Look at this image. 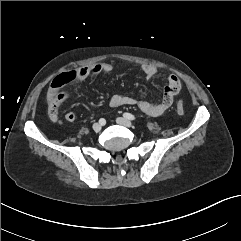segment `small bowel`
I'll return each instance as SVG.
<instances>
[{"label": "small bowel", "instance_id": "c3829d8e", "mask_svg": "<svg viewBox=\"0 0 241 241\" xmlns=\"http://www.w3.org/2000/svg\"><path fill=\"white\" fill-rule=\"evenodd\" d=\"M113 70V65L110 63H96L87 65L74 70L72 73L75 75V81L84 80L86 78L97 76L100 74L110 73ZM141 71L145 78L151 79L157 73V70L152 65H144ZM182 84L180 79L176 75H169L167 78V84L164 88L162 98L159 102L153 103L147 100H140L134 97L125 95H113L109 104L111 107L116 108L120 106H136L144 114L157 117L162 115L173 103L174 97L181 90ZM69 93L61 88L50 89L47 95V106L49 119L56 123L59 120V107L68 98ZM64 118L68 122H74L76 115L72 111L65 113Z\"/></svg>", "mask_w": 241, "mask_h": 241}]
</instances>
